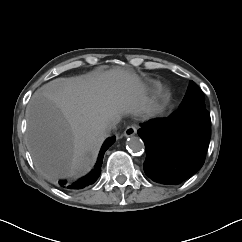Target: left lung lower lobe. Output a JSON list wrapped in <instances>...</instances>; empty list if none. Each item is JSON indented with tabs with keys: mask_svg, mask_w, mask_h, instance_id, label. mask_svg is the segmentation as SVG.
<instances>
[{
	"mask_svg": "<svg viewBox=\"0 0 242 242\" xmlns=\"http://www.w3.org/2000/svg\"><path fill=\"white\" fill-rule=\"evenodd\" d=\"M144 141L146 175L161 184H179L204 164L211 134L206 108L177 111L152 119L137 131Z\"/></svg>",
	"mask_w": 242,
	"mask_h": 242,
	"instance_id": "0a47b994",
	"label": "left lung lower lobe"
}]
</instances>
